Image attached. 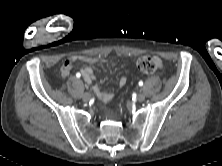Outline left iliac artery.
I'll list each match as a JSON object with an SVG mask.
<instances>
[{
  "mask_svg": "<svg viewBox=\"0 0 222 166\" xmlns=\"http://www.w3.org/2000/svg\"><path fill=\"white\" fill-rule=\"evenodd\" d=\"M142 85H143V82H142V81H140V82H139V86H142Z\"/></svg>",
  "mask_w": 222,
  "mask_h": 166,
  "instance_id": "obj_1",
  "label": "left iliac artery"
}]
</instances>
